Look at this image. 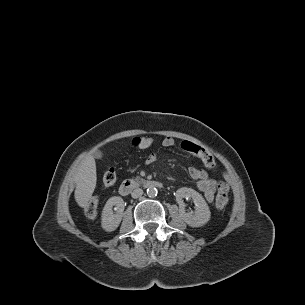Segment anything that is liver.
<instances>
[{"label": "liver", "mask_w": 305, "mask_h": 305, "mask_svg": "<svg viewBox=\"0 0 305 305\" xmlns=\"http://www.w3.org/2000/svg\"><path fill=\"white\" fill-rule=\"evenodd\" d=\"M76 182L75 200L80 207H86L96 187V163L91 155H86L74 176Z\"/></svg>", "instance_id": "liver-1"}]
</instances>
